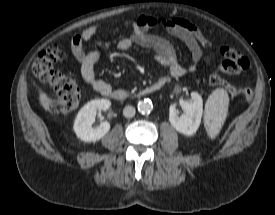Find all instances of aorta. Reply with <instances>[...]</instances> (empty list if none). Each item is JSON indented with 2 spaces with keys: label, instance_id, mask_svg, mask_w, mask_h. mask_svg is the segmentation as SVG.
<instances>
[{
  "label": "aorta",
  "instance_id": "762f6f07",
  "mask_svg": "<svg viewBox=\"0 0 275 215\" xmlns=\"http://www.w3.org/2000/svg\"><path fill=\"white\" fill-rule=\"evenodd\" d=\"M153 110V105L150 100H143L138 103V111L142 114H149Z\"/></svg>",
  "mask_w": 275,
  "mask_h": 215
}]
</instances>
